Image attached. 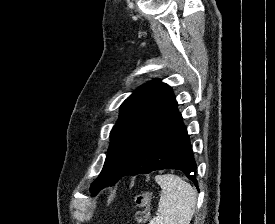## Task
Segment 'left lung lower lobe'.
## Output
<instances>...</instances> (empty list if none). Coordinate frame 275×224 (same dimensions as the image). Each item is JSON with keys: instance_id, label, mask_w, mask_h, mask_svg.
I'll return each mask as SVG.
<instances>
[{"instance_id": "left-lung-lower-lobe-1", "label": "left lung lower lobe", "mask_w": 275, "mask_h": 224, "mask_svg": "<svg viewBox=\"0 0 275 224\" xmlns=\"http://www.w3.org/2000/svg\"><path fill=\"white\" fill-rule=\"evenodd\" d=\"M181 170L198 188L192 147L181 114L176 107L148 137L123 176H135L163 169ZM122 176V177H123ZM118 179L107 178L92 193L114 185Z\"/></svg>"}]
</instances>
